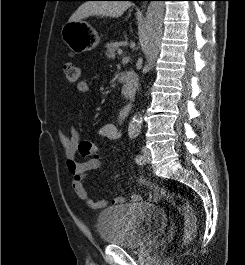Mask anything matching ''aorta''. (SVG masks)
<instances>
[{
  "mask_svg": "<svg viewBox=\"0 0 245 265\" xmlns=\"http://www.w3.org/2000/svg\"><path fill=\"white\" fill-rule=\"evenodd\" d=\"M165 11V4L163 1H151L146 13L143 41L145 44L146 55V69L152 70L161 48L162 38V22ZM141 129L140 117L136 114L133 116L130 124L129 131L137 133Z\"/></svg>",
  "mask_w": 245,
  "mask_h": 265,
  "instance_id": "aorta-1",
  "label": "aorta"
}]
</instances>
